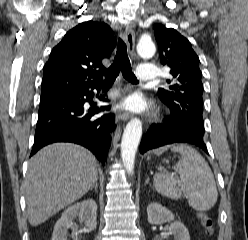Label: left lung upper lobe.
<instances>
[{
  "label": "left lung upper lobe",
  "instance_id": "left-lung-upper-lobe-1",
  "mask_svg": "<svg viewBox=\"0 0 248 240\" xmlns=\"http://www.w3.org/2000/svg\"><path fill=\"white\" fill-rule=\"evenodd\" d=\"M153 28L161 64L169 66L173 76L167 80L169 87L159 89V98L170 108L171 120L193 121L204 128L203 84L198 56L191 43L175 29L162 24H155Z\"/></svg>",
  "mask_w": 248,
  "mask_h": 240
}]
</instances>
